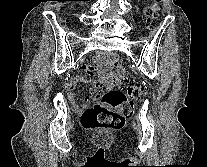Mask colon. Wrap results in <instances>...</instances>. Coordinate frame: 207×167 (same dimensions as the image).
<instances>
[{
	"label": "colon",
	"instance_id": "obj_1",
	"mask_svg": "<svg viewBox=\"0 0 207 167\" xmlns=\"http://www.w3.org/2000/svg\"><path fill=\"white\" fill-rule=\"evenodd\" d=\"M158 13V2L145 9L148 19L153 20ZM116 63L115 55H110ZM145 92L143 85L111 76V86L100 96L98 102L82 115V124L86 129H115L124 125L132 115L133 101L141 98Z\"/></svg>",
	"mask_w": 207,
	"mask_h": 167
}]
</instances>
